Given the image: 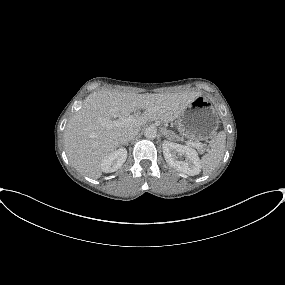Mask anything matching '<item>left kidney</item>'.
Segmentation results:
<instances>
[{"label":"left kidney","instance_id":"left-kidney-1","mask_svg":"<svg viewBox=\"0 0 285 285\" xmlns=\"http://www.w3.org/2000/svg\"><path fill=\"white\" fill-rule=\"evenodd\" d=\"M162 149L166 162L174 169L191 176L200 173L201 163L195 149L170 141H164ZM182 156L184 161L179 159Z\"/></svg>","mask_w":285,"mask_h":285}]
</instances>
